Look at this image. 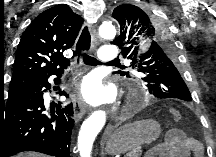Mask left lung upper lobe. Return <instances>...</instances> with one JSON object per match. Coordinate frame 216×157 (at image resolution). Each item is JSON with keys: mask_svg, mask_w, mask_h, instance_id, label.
<instances>
[{"mask_svg": "<svg viewBox=\"0 0 216 157\" xmlns=\"http://www.w3.org/2000/svg\"><path fill=\"white\" fill-rule=\"evenodd\" d=\"M112 17L120 26V35L113 43H118L123 57L130 60L146 90L159 99L191 101V93L180 75L181 64H177L178 51L162 19L132 4L119 5Z\"/></svg>", "mask_w": 216, "mask_h": 157, "instance_id": "obj_1", "label": "left lung upper lobe"}]
</instances>
